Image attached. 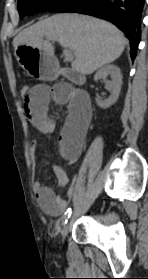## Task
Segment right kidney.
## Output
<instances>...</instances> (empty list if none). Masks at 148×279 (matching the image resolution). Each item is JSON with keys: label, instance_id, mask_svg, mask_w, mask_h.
<instances>
[{"label": "right kidney", "instance_id": "obj_1", "mask_svg": "<svg viewBox=\"0 0 148 279\" xmlns=\"http://www.w3.org/2000/svg\"><path fill=\"white\" fill-rule=\"evenodd\" d=\"M108 76H111V81L106 80ZM99 79L105 80L106 89L111 93L110 97L106 100L96 98L97 105L100 108L106 109L118 100L122 85V75L116 65L110 64L105 65L96 72L94 80L97 81Z\"/></svg>", "mask_w": 148, "mask_h": 279}]
</instances>
